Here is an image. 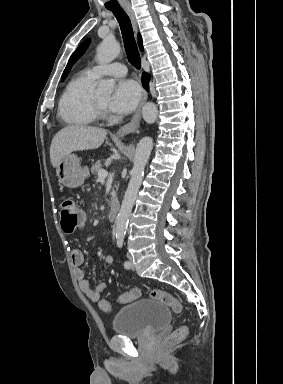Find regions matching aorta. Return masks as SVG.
I'll use <instances>...</instances> for the list:
<instances>
[{
    "mask_svg": "<svg viewBox=\"0 0 283 384\" xmlns=\"http://www.w3.org/2000/svg\"><path fill=\"white\" fill-rule=\"evenodd\" d=\"M120 53L119 43L112 38L104 39L97 48V59L101 64L109 63ZM114 88L113 81H102L96 93L98 95H110ZM142 116L145 122L154 123L158 116V110L154 103L148 102L142 109ZM153 148V140L150 137L142 138L136 147L133 168L128 188L125 192L120 211L117 216L116 236L123 237L126 233L130 213L136 200L139 188L142 183L144 169Z\"/></svg>",
    "mask_w": 283,
    "mask_h": 384,
    "instance_id": "1",
    "label": "aorta"
}]
</instances>
